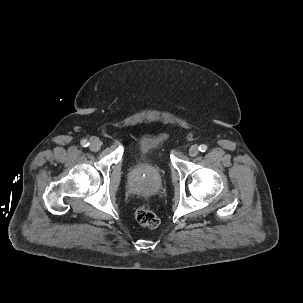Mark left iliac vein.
<instances>
[{"label": "left iliac vein", "instance_id": "1", "mask_svg": "<svg viewBox=\"0 0 303 303\" xmlns=\"http://www.w3.org/2000/svg\"><path fill=\"white\" fill-rule=\"evenodd\" d=\"M199 153V148L197 145H192L189 149V155L194 157Z\"/></svg>", "mask_w": 303, "mask_h": 303}]
</instances>
